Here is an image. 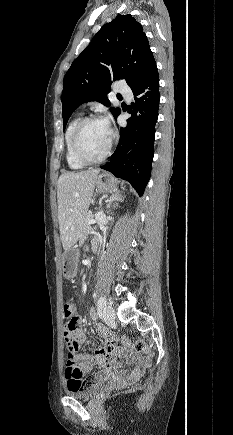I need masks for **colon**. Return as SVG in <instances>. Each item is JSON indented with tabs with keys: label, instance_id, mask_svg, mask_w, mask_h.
Returning a JSON list of instances; mask_svg holds the SVG:
<instances>
[{
	"label": "colon",
	"instance_id": "5ec220e1",
	"mask_svg": "<svg viewBox=\"0 0 233 435\" xmlns=\"http://www.w3.org/2000/svg\"><path fill=\"white\" fill-rule=\"evenodd\" d=\"M64 315L69 318L68 322L64 326L65 357H66L67 364L69 366L75 367L77 372H78V380L79 381L76 384H74V388L82 390V389L87 388L93 382L90 379L83 378L85 370H83L78 365V359H77L78 345H77V343H78L79 317L75 313V311L73 310V308L69 302H65V304H64ZM108 337H109V339L105 343L104 349L106 352H112L116 348L118 340L112 334H109ZM123 343L126 345H130L133 343L135 346V349L139 352H147L148 351L146 344L141 340H136V341L132 342L129 339H124Z\"/></svg>",
	"mask_w": 233,
	"mask_h": 435
}]
</instances>
